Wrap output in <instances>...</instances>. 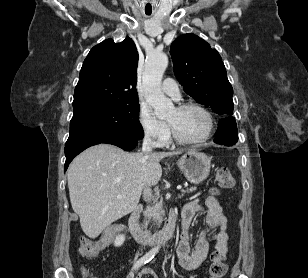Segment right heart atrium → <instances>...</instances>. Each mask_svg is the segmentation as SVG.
<instances>
[{
  "label": "right heart atrium",
  "instance_id": "obj_1",
  "mask_svg": "<svg viewBox=\"0 0 308 278\" xmlns=\"http://www.w3.org/2000/svg\"><path fill=\"white\" fill-rule=\"evenodd\" d=\"M143 137L155 146H165L170 140V130L166 123L158 120L147 107H141L138 114Z\"/></svg>",
  "mask_w": 308,
  "mask_h": 278
}]
</instances>
